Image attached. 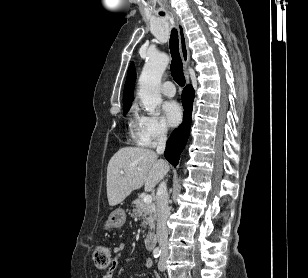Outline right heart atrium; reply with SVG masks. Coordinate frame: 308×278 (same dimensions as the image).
<instances>
[{"mask_svg":"<svg viewBox=\"0 0 308 278\" xmlns=\"http://www.w3.org/2000/svg\"><path fill=\"white\" fill-rule=\"evenodd\" d=\"M168 136V127L159 116L143 114L138 117L135 139L144 147H152L164 141Z\"/></svg>","mask_w":308,"mask_h":278,"instance_id":"1","label":"right heart atrium"}]
</instances>
